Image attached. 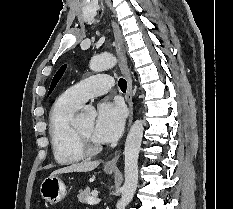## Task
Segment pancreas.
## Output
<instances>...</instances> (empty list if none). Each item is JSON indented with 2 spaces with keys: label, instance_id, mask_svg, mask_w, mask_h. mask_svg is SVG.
Listing matches in <instances>:
<instances>
[{
  "label": "pancreas",
  "instance_id": "pancreas-1",
  "mask_svg": "<svg viewBox=\"0 0 233 209\" xmlns=\"http://www.w3.org/2000/svg\"><path fill=\"white\" fill-rule=\"evenodd\" d=\"M90 195H91L90 188L87 187L84 190H80L77 197H78L79 202L86 203L87 198H89Z\"/></svg>",
  "mask_w": 233,
  "mask_h": 209
}]
</instances>
